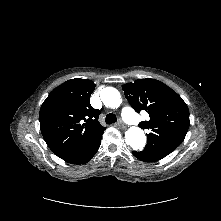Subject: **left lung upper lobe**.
I'll return each mask as SVG.
<instances>
[{"label": "left lung upper lobe", "instance_id": "1", "mask_svg": "<svg viewBox=\"0 0 221 221\" xmlns=\"http://www.w3.org/2000/svg\"><path fill=\"white\" fill-rule=\"evenodd\" d=\"M125 97L136 112L145 110L149 121L139 126L148 129L144 151L168 155L184 140L189 128V110L170 87L155 79H138L123 85Z\"/></svg>", "mask_w": 221, "mask_h": 221}]
</instances>
